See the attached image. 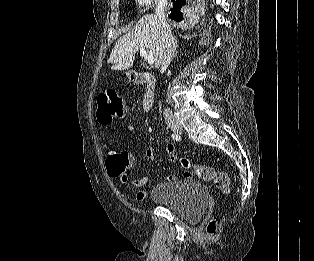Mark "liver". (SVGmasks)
Masks as SVG:
<instances>
[{"label": "liver", "instance_id": "liver-1", "mask_svg": "<svg viewBox=\"0 0 314 261\" xmlns=\"http://www.w3.org/2000/svg\"><path fill=\"white\" fill-rule=\"evenodd\" d=\"M164 37L156 15L142 16L134 28L115 44L108 63L112 70H126L133 66L135 54L141 47L149 49L154 56L155 67L161 66Z\"/></svg>", "mask_w": 314, "mask_h": 261}]
</instances>
